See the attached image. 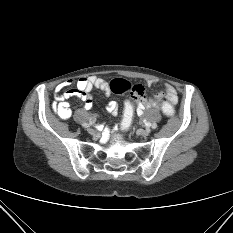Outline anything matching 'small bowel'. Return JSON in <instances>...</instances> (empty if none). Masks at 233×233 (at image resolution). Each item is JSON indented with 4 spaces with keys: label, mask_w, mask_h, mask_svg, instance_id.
I'll return each instance as SVG.
<instances>
[{
    "label": "small bowel",
    "mask_w": 233,
    "mask_h": 233,
    "mask_svg": "<svg viewBox=\"0 0 233 233\" xmlns=\"http://www.w3.org/2000/svg\"><path fill=\"white\" fill-rule=\"evenodd\" d=\"M154 83V80L148 81V85H153ZM72 84L73 82L68 80L60 83L55 88L52 107L53 110L63 119H69L72 116V110L70 108L69 102L67 101L68 99L73 97L80 98L84 102L85 110H91L93 108V102L90 92L94 88L101 90L106 94L111 93L110 83L95 76L80 78L76 83V87H70ZM67 87L70 88L62 93V90ZM164 93V101L160 99L159 103H156L153 99L148 101H139L136 107V113L138 115H142L146 108H150L156 105L162 106L164 103L173 106L177 102V91L172 85L165 84ZM118 109L119 107L116 101H110L106 106L107 112L114 117L117 116ZM91 119L94 120L95 116L93 115Z\"/></svg>",
    "instance_id": "1"
}]
</instances>
